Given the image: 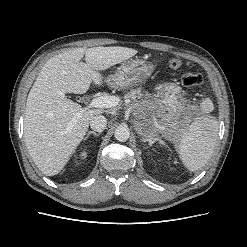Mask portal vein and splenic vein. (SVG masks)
I'll return each instance as SVG.
<instances>
[{"label":"portal vein and splenic vein","instance_id":"1","mask_svg":"<svg viewBox=\"0 0 247 247\" xmlns=\"http://www.w3.org/2000/svg\"><path fill=\"white\" fill-rule=\"evenodd\" d=\"M119 102V98L115 96H100L94 98L89 104V108H111L116 106ZM88 107L83 108L82 111L87 110ZM75 121V119H74Z\"/></svg>","mask_w":247,"mask_h":247}]
</instances>
